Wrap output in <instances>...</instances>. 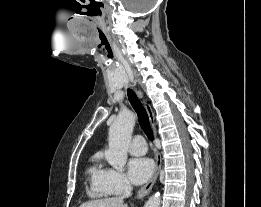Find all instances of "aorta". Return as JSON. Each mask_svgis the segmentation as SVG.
<instances>
[{"instance_id": "762f6f07", "label": "aorta", "mask_w": 261, "mask_h": 207, "mask_svg": "<svg viewBox=\"0 0 261 207\" xmlns=\"http://www.w3.org/2000/svg\"><path fill=\"white\" fill-rule=\"evenodd\" d=\"M135 125V115L130 111L121 112L109 128L108 150L105 157L116 170L122 171L127 160L132 132ZM159 193L152 195L144 207H160Z\"/></svg>"}]
</instances>
